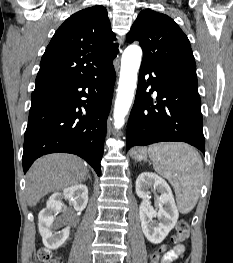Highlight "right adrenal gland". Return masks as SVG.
<instances>
[{"label":"right adrenal gland","mask_w":233,"mask_h":263,"mask_svg":"<svg viewBox=\"0 0 233 263\" xmlns=\"http://www.w3.org/2000/svg\"><path fill=\"white\" fill-rule=\"evenodd\" d=\"M88 179L91 180V176L90 175L88 176Z\"/></svg>","instance_id":"right-adrenal-gland-1"}]
</instances>
